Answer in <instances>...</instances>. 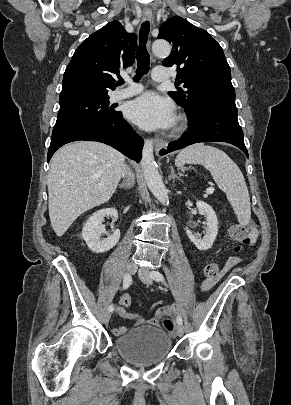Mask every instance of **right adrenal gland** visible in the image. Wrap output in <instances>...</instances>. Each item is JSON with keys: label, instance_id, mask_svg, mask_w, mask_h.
I'll return each mask as SVG.
<instances>
[{"label": "right adrenal gland", "instance_id": "obj_1", "mask_svg": "<svg viewBox=\"0 0 291 405\" xmlns=\"http://www.w3.org/2000/svg\"><path fill=\"white\" fill-rule=\"evenodd\" d=\"M133 186V183L130 180H124L121 184H119L120 188L130 189Z\"/></svg>", "mask_w": 291, "mask_h": 405}]
</instances>
